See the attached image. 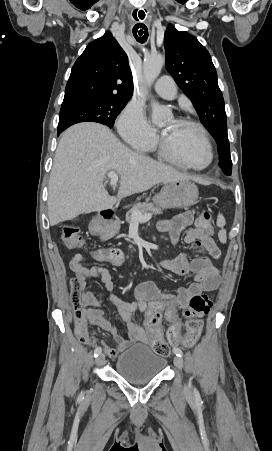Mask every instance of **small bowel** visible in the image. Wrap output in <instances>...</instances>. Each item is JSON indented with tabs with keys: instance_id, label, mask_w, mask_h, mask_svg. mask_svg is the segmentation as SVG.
<instances>
[{
	"instance_id": "small-bowel-1",
	"label": "small bowel",
	"mask_w": 272,
	"mask_h": 451,
	"mask_svg": "<svg viewBox=\"0 0 272 451\" xmlns=\"http://www.w3.org/2000/svg\"><path fill=\"white\" fill-rule=\"evenodd\" d=\"M192 224L193 216L190 212H183L171 220L158 223V230L167 234L170 245H175L182 237L187 245L205 253L191 259L180 253L160 261L162 268L175 275H194V281L189 286L179 288L176 294H164L153 282L147 281L136 288L137 301L130 303L121 300L113 293L114 283L108 269L94 265L90 270H86L85 274H74L70 280V292L76 333L79 335L85 332L88 324L107 331L116 343V348L105 343L104 352L111 359H115L131 344H147L149 337L162 339L161 326L159 325L156 332L145 331L137 321L139 315L159 314L161 316L164 312L165 319L171 324H176L178 311L187 308L193 295L217 289L220 283V271L213 265L212 259H219L221 252L212 238H198L197 231L200 228ZM94 258L99 261L105 260L100 252L95 253ZM89 279H100L103 282L105 289L109 292L108 301L115 306L118 316L126 324V336L121 335L105 317L103 301L98 300L87 289ZM175 331H178V327H175ZM185 336L179 337V340L183 342Z\"/></svg>"
}]
</instances>
